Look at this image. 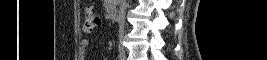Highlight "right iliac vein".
<instances>
[{"mask_svg": "<svg viewBox=\"0 0 267 60\" xmlns=\"http://www.w3.org/2000/svg\"><path fill=\"white\" fill-rule=\"evenodd\" d=\"M123 57H125V54H121ZM124 59V58H123Z\"/></svg>", "mask_w": 267, "mask_h": 60, "instance_id": "63e3f726", "label": "right iliac vein"}]
</instances>
